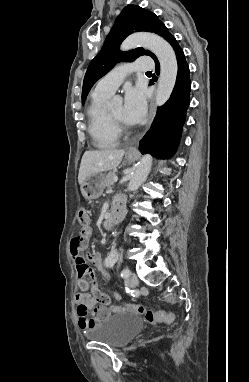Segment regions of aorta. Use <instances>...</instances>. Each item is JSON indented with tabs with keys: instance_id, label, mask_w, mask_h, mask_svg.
I'll list each match as a JSON object with an SVG mask.
<instances>
[{
	"instance_id": "1",
	"label": "aorta",
	"mask_w": 249,
	"mask_h": 382,
	"mask_svg": "<svg viewBox=\"0 0 249 382\" xmlns=\"http://www.w3.org/2000/svg\"><path fill=\"white\" fill-rule=\"evenodd\" d=\"M151 50L160 62V77L156 90V104L161 106L169 99L177 78L178 63L172 46L162 37L152 33H137L129 36L121 45V50H130L136 46ZM152 166V156L142 157L128 184L130 191H136L146 180ZM116 236V232L113 233Z\"/></svg>"
}]
</instances>
